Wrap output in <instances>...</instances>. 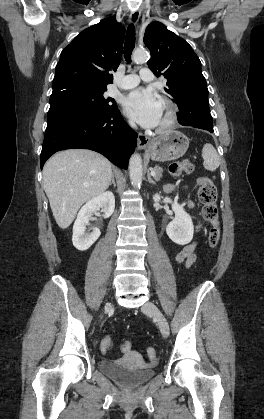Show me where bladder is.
<instances>
[{
	"label": "bladder",
	"instance_id": "1",
	"mask_svg": "<svg viewBox=\"0 0 264 419\" xmlns=\"http://www.w3.org/2000/svg\"><path fill=\"white\" fill-rule=\"evenodd\" d=\"M98 367L102 373L126 388L138 387L150 380L155 374V370L151 366L131 369L106 359L100 360Z\"/></svg>",
	"mask_w": 264,
	"mask_h": 419
}]
</instances>
